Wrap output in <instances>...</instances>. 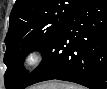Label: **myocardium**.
<instances>
[{"label":"myocardium","mask_w":107,"mask_h":89,"mask_svg":"<svg viewBox=\"0 0 107 89\" xmlns=\"http://www.w3.org/2000/svg\"><path fill=\"white\" fill-rule=\"evenodd\" d=\"M44 54L39 49L30 50L23 58V64L27 68H35L43 61Z\"/></svg>","instance_id":"f54148a6"}]
</instances>
